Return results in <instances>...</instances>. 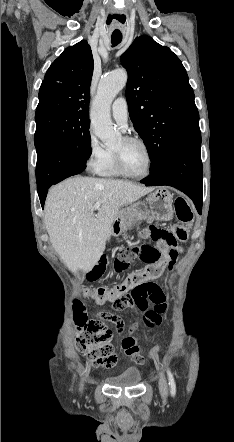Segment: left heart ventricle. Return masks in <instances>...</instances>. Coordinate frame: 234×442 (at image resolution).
Wrapping results in <instances>:
<instances>
[{
    "instance_id": "left-heart-ventricle-1",
    "label": "left heart ventricle",
    "mask_w": 234,
    "mask_h": 442,
    "mask_svg": "<svg viewBox=\"0 0 234 442\" xmlns=\"http://www.w3.org/2000/svg\"><path fill=\"white\" fill-rule=\"evenodd\" d=\"M113 149L121 152L124 166L130 173L141 174L146 170L147 156L141 145L120 139Z\"/></svg>"
}]
</instances>
